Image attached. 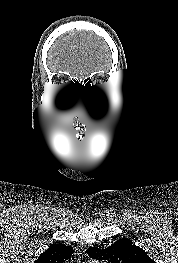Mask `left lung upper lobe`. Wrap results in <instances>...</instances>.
<instances>
[{"label": "left lung upper lobe", "instance_id": "left-lung-upper-lobe-1", "mask_svg": "<svg viewBox=\"0 0 178 263\" xmlns=\"http://www.w3.org/2000/svg\"><path fill=\"white\" fill-rule=\"evenodd\" d=\"M87 253L93 259L110 263H155L143 249L127 238L117 240L106 249L90 247Z\"/></svg>", "mask_w": 178, "mask_h": 263}]
</instances>
